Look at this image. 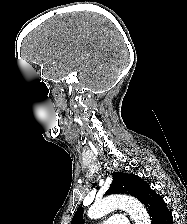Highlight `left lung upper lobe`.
Masks as SVG:
<instances>
[{"mask_svg": "<svg viewBox=\"0 0 187 224\" xmlns=\"http://www.w3.org/2000/svg\"><path fill=\"white\" fill-rule=\"evenodd\" d=\"M127 194L136 197L141 203L150 198L154 193L146 181L141 180L140 177L134 174L127 173H113V181L110 188L106 191V195L109 194ZM83 209L79 208L71 221V224H82Z\"/></svg>", "mask_w": 187, "mask_h": 224, "instance_id": "left-lung-upper-lobe-1", "label": "left lung upper lobe"}]
</instances>
